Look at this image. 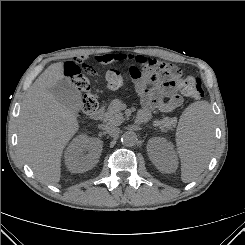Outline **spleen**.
Returning a JSON list of instances; mask_svg holds the SVG:
<instances>
[{"instance_id": "1", "label": "spleen", "mask_w": 245, "mask_h": 245, "mask_svg": "<svg viewBox=\"0 0 245 245\" xmlns=\"http://www.w3.org/2000/svg\"><path fill=\"white\" fill-rule=\"evenodd\" d=\"M213 113L207 101L190 104L182 113L176 132L181 179L188 183L206 168L213 149Z\"/></svg>"}]
</instances>
